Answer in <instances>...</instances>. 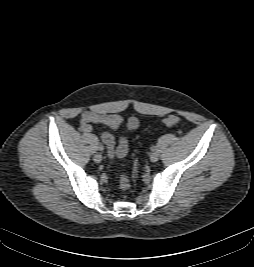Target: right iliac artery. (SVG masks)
I'll list each match as a JSON object with an SVG mask.
<instances>
[{"instance_id": "82829eb1", "label": "right iliac artery", "mask_w": 254, "mask_h": 267, "mask_svg": "<svg viewBox=\"0 0 254 267\" xmlns=\"http://www.w3.org/2000/svg\"><path fill=\"white\" fill-rule=\"evenodd\" d=\"M98 150L102 151V150H104V147L102 145H99Z\"/></svg>"}]
</instances>
